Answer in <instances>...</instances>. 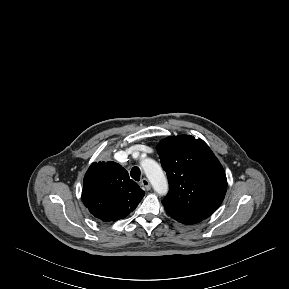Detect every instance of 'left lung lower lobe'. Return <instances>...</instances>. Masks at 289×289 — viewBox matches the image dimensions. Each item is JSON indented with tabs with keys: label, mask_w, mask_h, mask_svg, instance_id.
I'll list each match as a JSON object with an SVG mask.
<instances>
[{
	"label": "left lung lower lobe",
	"mask_w": 289,
	"mask_h": 289,
	"mask_svg": "<svg viewBox=\"0 0 289 289\" xmlns=\"http://www.w3.org/2000/svg\"><path fill=\"white\" fill-rule=\"evenodd\" d=\"M166 210L171 217H173L175 220H177L181 223H184V224H195V223H198L204 219L201 216L192 215V214L184 213L181 211L171 210V209H167V208H166Z\"/></svg>",
	"instance_id": "0a47b994"
}]
</instances>
